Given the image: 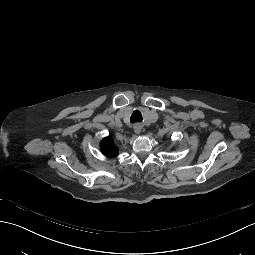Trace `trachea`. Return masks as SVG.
<instances>
[{"label": "trachea", "instance_id": "obj_1", "mask_svg": "<svg viewBox=\"0 0 255 255\" xmlns=\"http://www.w3.org/2000/svg\"><path fill=\"white\" fill-rule=\"evenodd\" d=\"M130 121L132 124L142 122V114L140 111L136 110L132 113Z\"/></svg>", "mask_w": 255, "mask_h": 255}]
</instances>
